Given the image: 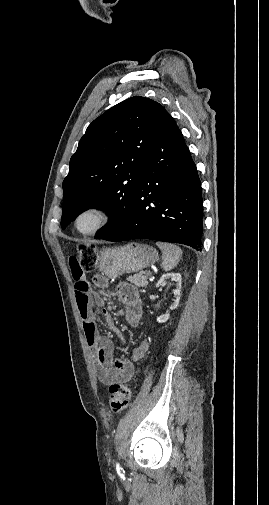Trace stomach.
<instances>
[{"label": "stomach", "mask_w": 269, "mask_h": 505, "mask_svg": "<svg viewBox=\"0 0 269 505\" xmlns=\"http://www.w3.org/2000/svg\"><path fill=\"white\" fill-rule=\"evenodd\" d=\"M158 259V252L152 246L132 242L102 250L98 256V267L109 279H115L123 273L143 270Z\"/></svg>", "instance_id": "stomach-1"}]
</instances>
